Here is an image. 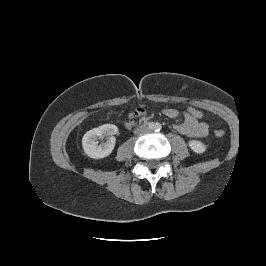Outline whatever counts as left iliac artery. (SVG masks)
I'll return each mask as SVG.
<instances>
[{
	"label": "left iliac artery",
	"mask_w": 266,
	"mask_h": 266,
	"mask_svg": "<svg viewBox=\"0 0 266 266\" xmlns=\"http://www.w3.org/2000/svg\"><path fill=\"white\" fill-rule=\"evenodd\" d=\"M161 129V125L160 124H157L156 125V130L159 131Z\"/></svg>",
	"instance_id": "left-iliac-artery-1"
}]
</instances>
